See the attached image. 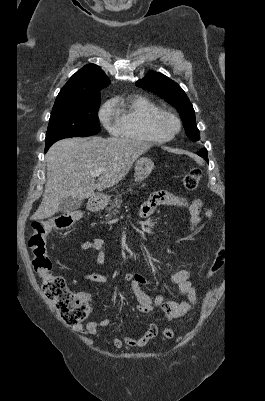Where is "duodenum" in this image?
<instances>
[{"label":"duodenum","mask_w":265,"mask_h":401,"mask_svg":"<svg viewBox=\"0 0 265 401\" xmlns=\"http://www.w3.org/2000/svg\"><path fill=\"white\" fill-rule=\"evenodd\" d=\"M102 206H103L102 200L99 197L95 196L90 199L88 208L90 211L96 212L100 210Z\"/></svg>","instance_id":"1"}]
</instances>
